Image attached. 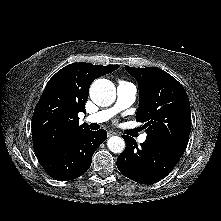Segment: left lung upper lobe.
<instances>
[{"mask_svg":"<svg viewBox=\"0 0 221 221\" xmlns=\"http://www.w3.org/2000/svg\"><path fill=\"white\" fill-rule=\"evenodd\" d=\"M125 69L139 84L136 120L145 122L146 139L183 155L191 129L190 103L183 86L159 68Z\"/></svg>","mask_w":221,"mask_h":221,"instance_id":"obj_1","label":"left lung upper lobe"}]
</instances>
